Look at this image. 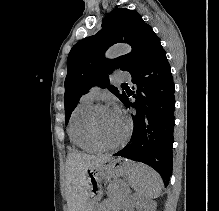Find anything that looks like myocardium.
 <instances>
[{
	"label": "myocardium",
	"instance_id": "obj_1",
	"mask_svg": "<svg viewBox=\"0 0 219 211\" xmlns=\"http://www.w3.org/2000/svg\"><path fill=\"white\" fill-rule=\"evenodd\" d=\"M103 108H109V106L106 104L100 103V104H96L92 106V108L90 109L88 117H87L88 132L91 138L100 146L104 148H117L123 145L128 139L129 134H130V129H131V122L128 119H125L126 128H125L124 134L121 136V138L118 141L108 142L98 133L97 128H96V123H95L97 112Z\"/></svg>",
	"mask_w": 219,
	"mask_h": 211
}]
</instances>
